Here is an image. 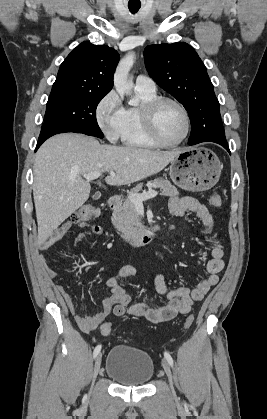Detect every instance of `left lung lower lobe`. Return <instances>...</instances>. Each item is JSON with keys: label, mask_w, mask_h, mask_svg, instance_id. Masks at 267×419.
<instances>
[{"label": "left lung lower lobe", "mask_w": 267, "mask_h": 419, "mask_svg": "<svg viewBox=\"0 0 267 419\" xmlns=\"http://www.w3.org/2000/svg\"><path fill=\"white\" fill-rule=\"evenodd\" d=\"M205 128L206 127L204 126V129L200 133H191L188 144L195 145L201 142H215L222 145L230 153L226 139H217L212 135L211 130Z\"/></svg>", "instance_id": "0a47b994"}]
</instances>
